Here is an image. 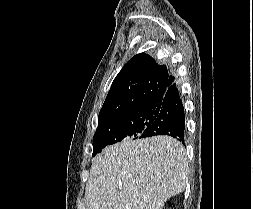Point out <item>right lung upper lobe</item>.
Segmentation results:
<instances>
[{"label":"right lung upper lobe","mask_w":253,"mask_h":209,"mask_svg":"<svg viewBox=\"0 0 253 209\" xmlns=\"http://www.w3.org/2000/svg\"><path fill=\"white\" fill-rule=\"evenodd\" d=\"M165 65L140 53L132 57L114 79L99 112L98 122L117 117L131 109L153 106L174 83Z\"/></svg>","instance_id":"obj_1"}]
</instances>
